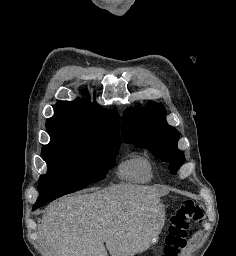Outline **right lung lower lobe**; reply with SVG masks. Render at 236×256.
Instances as JSON below:
<instances>
[{
  "instance_id": "obj_1",
  "label": "right lung lower lobe",
  "mask_w": 236,
  "mask_h": 256,
  "mask_svg": "<svg viewBox=\"0 0 236 256\" xmlns=\"http://www.w3.org/2000/svg\"><path fill=\"white\" fill-rule=\"evenodd\" d=\"M48 202H50V201L36 202V203L34 204L32 210H35V209H37L38 207H40V206H42V205H44V204H46V203H48Z\"/></svg>"
}]
</instances>
